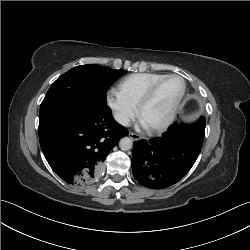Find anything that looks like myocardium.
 Returning <instances> with one entry per match:
<instances>
[{
    "label": "myocardium",
    "instance_id": "obj_1",
    "mask_svg": "<svg viewBox=\"0 0 250 250\" xmlns=\"http://www.w3.org/2000/svg\"><path fill=\"white\" fill-rule=\"evenodd\" d=\"M170 78L179 79L182 82V90H181L178 98L176 99L175 103L173 104V106H172L169 114L167 115V117L158 124L147 126V129L149 131H151V132L164 131L165 129H167L172 124V122L174 121V119H175V117L177 115V112H178L180 104H181V102H182V100L184 98V95L186 93V81L184 80L183 77H181L180 75H177V74L164 75L163 77L159 78L158 80H156L155 82H153L150 85V87L147 89V91L145 92V94L143 95V97L141 98V100L139 101V103L137 105L138 116L141 118L145 107L149 104V102L154 97L158 87L164 81H166V80H168Z\"/></svg>",
    "mask_w": 250,
    "mask_h": 250
}]
</instances>
